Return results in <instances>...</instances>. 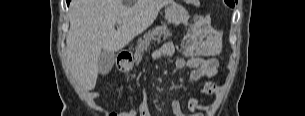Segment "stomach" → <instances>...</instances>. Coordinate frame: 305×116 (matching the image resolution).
I'll list each match as a JSON object with an SVG mask.
<instances>
[{
	"label": "stomach",
	"mask_w": 305,
	"mask_h": 116,
	"mask_svg": "<svg viewBox=\"0 0 305 116\" xmlns=\"http://www.w3.org/2000/svg\"><path fill=\"white\" fill-rule=\"evenodd\" d=\"M188 18L187 10L175 2L171 3L165 10V19L173 25L185 23ZM129 68L130 64L127 63L123 65L124 70H128Z\"/></svg>",
	"instance_id": "stomach-1"
}]
</instances>
